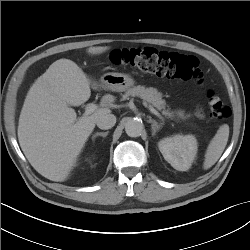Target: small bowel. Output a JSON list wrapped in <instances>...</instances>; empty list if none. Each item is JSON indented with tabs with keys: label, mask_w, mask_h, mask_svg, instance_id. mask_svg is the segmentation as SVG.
<instances>
[{
	"label": "small bowel",
	"mask_w": 250,
	"mask_h": 250,
	"mask_svg": "<svg viewBox=\"0 0 250 250\" xmlns=\"http://www.w3.org/2000/svg\"><path fill=\"white\" fill-rule=\"evenodd\" d=\"M178 115L181 116V117H188L189 115L186 114L184 111L182 110H179L178 112ZM194 116L198 119H202L204 117V114L201 110H197L195 113H194Z\"/></svg>",
	"instance_id": "small-bowel-1"
}]
</instances>
